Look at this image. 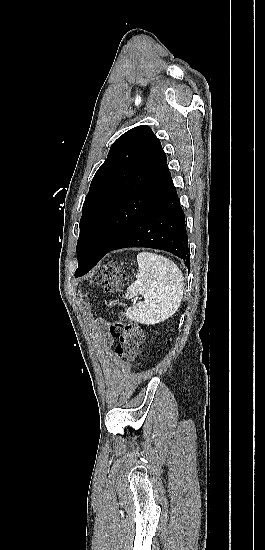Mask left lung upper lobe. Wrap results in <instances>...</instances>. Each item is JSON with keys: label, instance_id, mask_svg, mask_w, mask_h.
<instances>
[{"label": "left lung upper lobe", "instance_id": "left-lung-upper-lobe-1", "mask_svg": "<svg viewBox=\"0 0 265 550\" xmlns=\"http://www.w3.org/2000/svg\"><path fill=\"white\" fill-rule=\"evenodd\" d=\"M172 184L166 154L149 126L121 135L95 173L83 204L78 267L90 251L111 248Z\"/></svg>", "mask_w": 265, "mask_h": 550}]
</instances>
